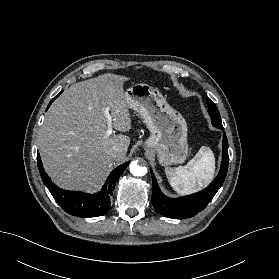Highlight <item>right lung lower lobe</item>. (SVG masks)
Listing matches in <instances>:
<instances>
[{
  "label": "right lung lower lobe",
  "mask_w": 279,
  "mask_h": 279,
  "mask_svg": "<svg viewBox=\"0 0 279 279\" xmlns=\"http://www.w3.org/2000/svg\"><path fill=\"white\" fill-rule=\"evenodd\" d=\"M61 93L62 91L55 98ZM55 98L51 100L47 109ZM129 162L130 161L118 166L112 171L100 192L89 195L78 191H66L58 188L45 173L40 156L39 154L37 155L38 169L44 184L65 212L78 217L101 216L109 210L110 195H112L116 181Z\"/></svg>",
  "instance_id": "right-lung-lower-lobe-1"
}]
</instances>
